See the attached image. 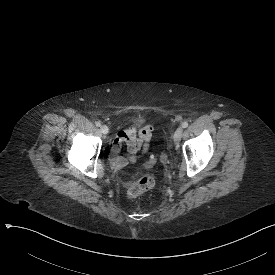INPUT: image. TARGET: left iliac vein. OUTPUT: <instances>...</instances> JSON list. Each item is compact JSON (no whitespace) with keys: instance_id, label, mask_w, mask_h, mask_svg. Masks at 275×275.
Wrapping results in <instances>:
<instances>
[{"instance_id":"4c4485c4","label":"left iliac vein","mask_w":275,"mask_h":275,"mask_svg":"<svg viewBox=\"0 0 275 275\" xmlns=\"http://www.w3.org/2000/svg\"><path fill=\"white\" fill-rule=\"evenodd\" d=\"M182 135H183V128L182 127H178L175 131V134H174V137H173V140L175 142V144H178L179 141L181 140L182 138Z\"/></svg>"}]
</instances>
